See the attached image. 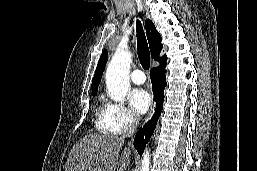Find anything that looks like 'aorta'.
<instances>
[{
  "label": "aorta",
  "mask_w": 257,
  "mask_h": 171,
  "mask_svg": "<svg viewBox=\"0 0 257 171\" xmlns=\"http://www.w3.org/2000/svg\"><path fill=\"white\" fill-rule=\"evenodd\" d=\"M132 54L118 49L108 64L106 71V86L108 96L115 102L123 101L130 89L129 69ZM150 153L145 150L140 171H149Z\"/></svg>",
  "instance_id": "762f6f07"
}]
</instances>
